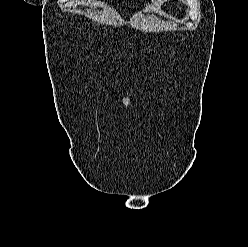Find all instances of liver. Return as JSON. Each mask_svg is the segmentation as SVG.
Returning <instances> with one entry per match:
<instances>
[{
	"instance_id": "1",
	"label": "liver",
	"mask_w": 248,
	"mask_h": 247,
	"mask_svg": "<svg viewBox=\"0 0 248 247\" xmlns=\"http://www.w3.org/2000/svg\"><path fill=\"white\" fill-rule=\"evenodd\" d=\"M163 0H152V2L154 3L155 5V9L157 10L158 7L160 6V3L162 2ZM80 4L82 5H95L97 4V0H81L79 1Z\"/></svg>"
}]
</instances>
